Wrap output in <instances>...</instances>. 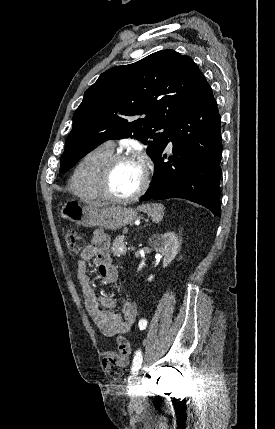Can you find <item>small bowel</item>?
Wrapping results in <instances>:
<instances>
[{"instance_id":"obj_1","label":"small bowel","mask_w":275,"mask_h":429,"mask_svg":"<svg viewBox=\"0 0 275 429\" xmlns=\"http://www.w3.org/2000/svg\"><path fill=\"white\" fill-rule=\"evenodd\" d=\"M110 239L104 231H96L93 240L81 253L77 263V280L82 290L85 307L101 333L108 338L125 334L131 330L136 321V306L129 300L122 302L121 312H113L116 300L108 295L97 296L91 284L87 262L95 259L99 275L107 283L117 279V270L109 254Z\"/></svg>"}]
</instances>
